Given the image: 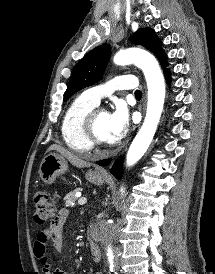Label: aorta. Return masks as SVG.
<instances>
[{
	"instance_id": "aorta-1",
	"label": "aorta",
	"mask_w": 215,
	"mask_h": 274,
	"mask_svg": "<svg viewBox=\"0 0 215 274\" xmlns=\"http://www.w3.org/2000/svg\"><path fill=\"white\" fill-rule=\"evenodd\" d=\"M117 65L135 64L142 69L148 87L147 111L144 122L134 138L127 153V166L134 165L147 151L156 132L165 99V82L156 59L148 52L129 48L119 51L114 57ZM123 192V189H121ZM108 261L110 269L114 268V255L111 247H108Z\"/></svg>"
}]
</instances>
